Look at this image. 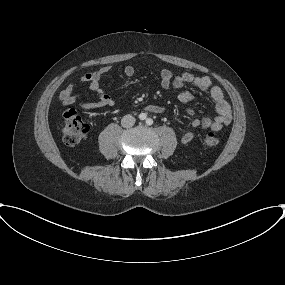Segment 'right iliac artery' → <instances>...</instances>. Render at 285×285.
Segmentation results:
<instances>
[{
  "label": "right iliac artery",
  "instance_id": "obj_1",
  "mask_svg": "<svg viewBox=\"0 0 285 285\" xmlns=\"http://www.w3.org/2000/svg\"><path fill=\"white\" fill-rule=\"evenodd\" d=\"M140 120H145L146 119V114L145 113H141L139 115Z\"/></svg>",
  "mask_w": 285,
  "mask_h": 285
}]
</instances>
